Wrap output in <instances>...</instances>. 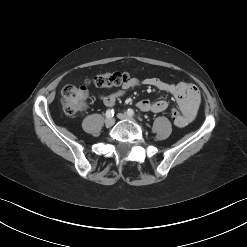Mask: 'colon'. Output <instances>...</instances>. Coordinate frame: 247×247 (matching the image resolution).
Segmentation results:
<instances>
[{"mask_svg": "<svg viewBox=\"0 0 247 247\" xmlns=\"http://www.w3.org/2000/svg\"><path fill=\"white\" fill-rule=\"evenodd\" d=\"M131 80V77L126 72L110 71L98 73L92 78L88 79L84 86L68 85L62 91V104L64 112L68 116H75L77 113L83 111L87 105L88 90L87 86L91 85L100 89H109L124 86ZM171 118L175 122L181 116V113L172 109L170 112Z\"/></svg>", "mask_w": 247, "mask_h": 247, "instance_id": "colon-1", "label": "colon"}]
</instances>
